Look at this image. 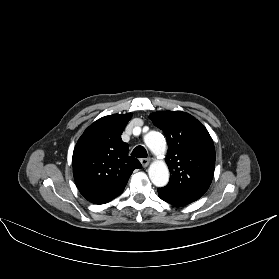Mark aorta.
<instances>
[{"label": "aorta", "instance_id": "aorta-1", "mask_svg": "<svg viewBox=\"0 0 279 279\" xmlns=\"http://www.w3.org/2000/svg\"><path fill=\"white\" fill-rule=\"evenodd\" d=\"M144 142L155 155H163L166 151L165 138L157 131L148 132L144 136ZM148 175L151 182L157 187H163L169 181V170L163 161L153 162L148 169Z\"/></svg>", "mask_w": 279, "mask_h": 279}]
</instances>
